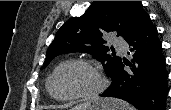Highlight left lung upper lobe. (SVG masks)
<instances>
[{"label": "left lung upper lobe", "instance_id": "1", "mask_svg": "<svg viewBox=\"0 0 171 110\" xmlns=\"http://www.w3.org/2000/svg\"><path fill=\"white\" fill-rule=\"evenodd\" d=\"M147 16L140 1H94L81 17L70 19L58 30L41 69L57 55L89 52L104 62L106 74L112 77L121 58L107 54L109 48L103 45V34L117 31V36L127 41Z\"/></svg>", "mask_w": 171, "mask_h": 110}]
</instances>
